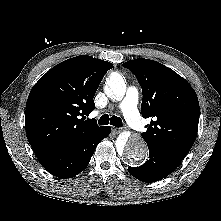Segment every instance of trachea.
Listing matches in <instances>:
<instances>
[{"label": "trachea", "instance_id": "obj_1", "mask_svg": "<svg viewBox=\"0 0 221 221\" xmlns=\"http://www.w3.org/2000/svg\"><path fill=\"white\" fill-rule=\"evenodd\" d=\"M99 124L101 125H107V124H111L115 127H121L122 126V120L121 118L117 117V116H112V117H109L108 114H104L100 117L99 121H98Z\"/></svg>", "mask_w": 221, "mask_h": 221}]
</instances>
